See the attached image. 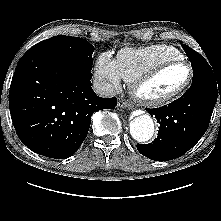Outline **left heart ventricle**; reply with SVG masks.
Here are the masks:
<instances>
[{
    "label": "left heart ventricle",
    "mask_w": 221,
    "mask_h": 221,
    "mask_svg": "<svg viewBox=\"0 0 221 221\" xmlns=\"http://www.w3.org/2000/svg\"><path fill=\"white\" fill-rule=\"evenodd\" d=\"M188 74V68L184 65L170 67L148 84L144 88V92L152 97L169 94L185 83Z\"/></svg>",
    "instance_id": "left-heart-ventricle-1"
}]
</instances>
